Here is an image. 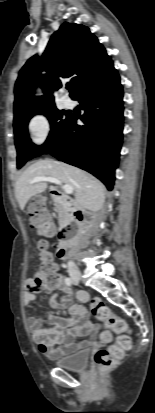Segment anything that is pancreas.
I'll return each instance as SVG.
<instances>
[{
  "instance_id": "cf45deb5",
  "label": "pancreas",
  "mask_w": 155,
  "mask_h": 413,
  "mask_svg": "<svg viewBox=\"0 0 155 413\" xmlns=\"http://www.w3.org/2000/svg\"><path fill=\"white\" fill-rule=\"evenodd\" d=\"M54 205L56 211L58 212L59 221L62 222L63 218L68 216V209L64 206V204L60 201L59 198H54Z\"/></svg>"
}]
</instances>
